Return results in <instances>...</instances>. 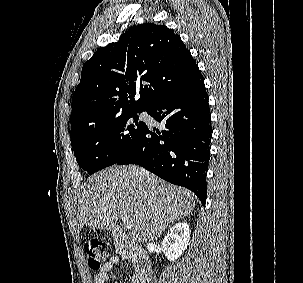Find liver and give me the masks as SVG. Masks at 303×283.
<instances>
[{"mask_svg": "<svg viewBox=\"0 0 303 283\" xmlns=\"http://www.w3.org/2000/svg\"><path fill=\"white\" fill-rule=\"evenodd\" d=\"M194 194L169 184L144 168L111 166L88 178L78 197L77 230L84 226L111 230L118 216L131 219V237L147 242L168 225L189 215Z\"/></svg>", "mask_w": 303, "mask_h": 283, "instance_id": "6515ba94", "label": "liver"}]
</instances>
